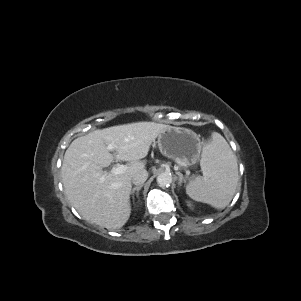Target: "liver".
Instances as JSON below:
<instances>
[{"mask_svg":"<svg viewBox=\"0 0 301 301\" xmlns=\"http://www.w3.org/2000/svg\"><path fill=\"white\" fill-rule=\"evenodd\" d=\"M167 125L136 122L93 131L75 139L65 152L61 168L64 191L79 214L107 229H119L131 213L133 175L145 168L140 161ZM114 146V154L107 149ZM128 161L122 174H104L113 160Z\"/></svg>","mask_w":301,"mask_h":301,"instance_id":"liver-1","label":"liver"}]
</instances>
